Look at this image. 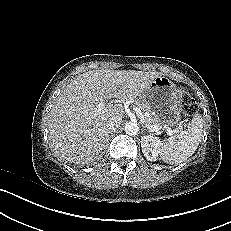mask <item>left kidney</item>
Here are the masks:
<instances>
[{"label":"left kidney","mask_w":231,"mask_h":231,"mask_svg":"<svg viewBox=\"0 0 231 231\" xmlns=\"http://www.w3.org/2000/svg\"><path fill=\"white\" fill-rule=\"evenodd\" d=\"M160 140L152 135L141 137V148L149 161H156L159 153Z\"/></svg>","instance_id":"1"}]
</instances>
